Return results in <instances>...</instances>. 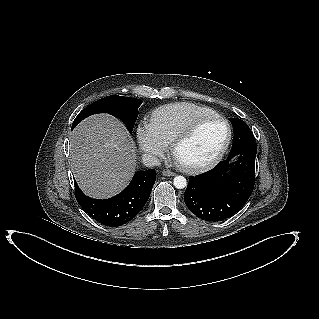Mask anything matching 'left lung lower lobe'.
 I'll list each match as a JSON object with an SVG mask.
<instances>
[{"instance_id":"1","label":"left lung lower lobe","mask_w":319,"mask_h":319,"mask_svg":"<svg viewBox=\"0 0 319 319\" xmlns=\"http://www.w3.org/2000/svg\"><path fill=\"white\" fill-rule=\"evenodd\" d=\"M236 118L230 119L234 125ZM256 151L230 152L213 169L189 177L184 201L189 210L205 221H222L239 211L252 194ZM238 160L231 163L233 157Z\"/></svg>"}]
</instances>
